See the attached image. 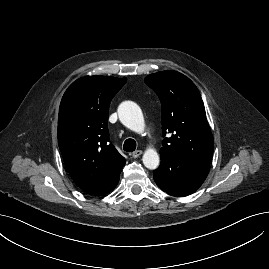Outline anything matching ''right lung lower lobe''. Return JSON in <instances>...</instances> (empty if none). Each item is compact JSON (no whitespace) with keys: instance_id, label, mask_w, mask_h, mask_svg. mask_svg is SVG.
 Returning <instances> with one entry per match:
<instances>
[{"instance_id":"1","label":"right lung lower lobe","mask_w":269,"mask_h":269,"mask_svg":"<svg viewBox=\"0 0 269 269\" xmlns=\"http://www.w3.org/2000/svg\"><path fill=\"white\" fill-rule=\"evenodd\" d=\"M118 181H119V177L112 184L107 186L105 189H103L99 193H96V195H104V194L110 192L111 190H113L116 187V185L118 184Z\"/></svg>"}]
</instances>
